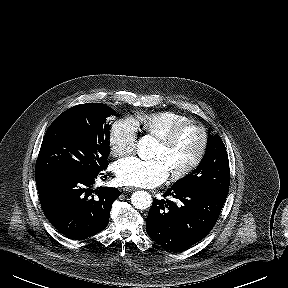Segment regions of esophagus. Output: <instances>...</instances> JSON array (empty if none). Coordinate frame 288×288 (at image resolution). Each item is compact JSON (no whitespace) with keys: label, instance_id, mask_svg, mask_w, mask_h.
I'll return each mask as SVG.
<instances>
[{"label":"esophagus","instance_id":"obj_1","mask_svg":"<svg viewBox=\"0 0 288 288\" xmlns=\"http://www.w3.org/2000/svg\"><path fill=\"white\" fill-rule=\"evenodd\" d=\"M137 188L135 187H124L123 190L126 192H131V191H135Z\"/></svg>","mask_w":288,"mask_h":288}]
</instances>
